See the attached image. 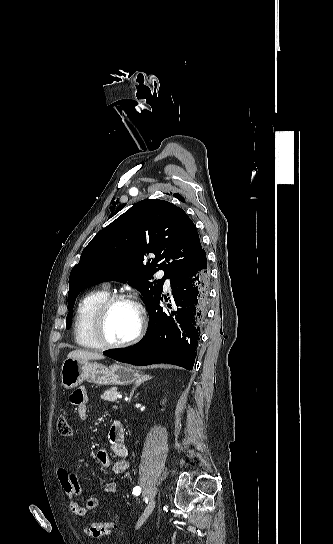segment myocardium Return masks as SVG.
Returning a JSON list of instances; mask_svg holds the SVG:
<instances>
[{
	"instance_id": "obj_1",
	"label": "myocardium",
	"mask_w": 333,
	"mask_h": 544,
	"mask_svg": "<svg viewBox=\"0 0 333 544\" xmlns=\"http://www.w3.org/2000/svg\"><path fill=\"white\" fill-rule=\"evenodd\" d=\"M119 302L133 305L139 316V324L136 332L129 339L122 342H110L105 336V321L110 309ZM147 324L146 313L141 303L132 295L117 293L109 295L96 309L91 325L92 336L101 348L119 349L135 344L143 335Z\"/></svg>"
}]
</instances>
